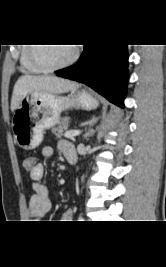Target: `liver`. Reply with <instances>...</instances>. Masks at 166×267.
Returning a JSON list of instances; mask_svg holds the SVG:
<instances>
[{
  "instance_id": "1",
  "label": "liver",
  "mask_w": 166,
  "mask_h": 267,
  "mask_svg": "<svg viewBox=\"0 0 166 267\" xmlns=\"http://www.w3.org/2000/svg\"><path fill=\"white\" fill-rule=\"evenodd\" d=\"M80 85L56 76H21L14 85L11 111L14 112L21 101L31 93L61 94L78 89Z\"/></svg>"
}]
</instances>
